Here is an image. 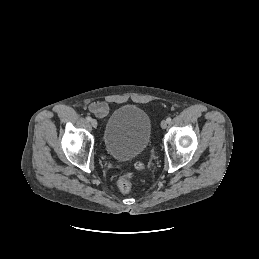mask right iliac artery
<instances>
[{"label": "right iliac artery", "instance_id": "82829eb1", "mask_svg": "<svg viewBox=\"0 0 259 259\" xmlns=\"http://www.w3.org/2000/svg\"><path fill=\"white\" fill-rule=\"evenodd\" d=\"M86 119H87L88 121H91V120H92V118H91L90 116H87Z\"/></svg>", "mask_w": 259, "mask_h": 259}]
</instances>
